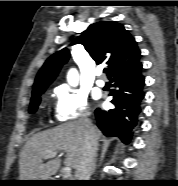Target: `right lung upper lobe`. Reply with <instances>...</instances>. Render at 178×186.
I'll return each mask as SVG.
<instances>
[{
	"mask_svg": "<svg viewBox=\"0 0 178 186\" xmlns=\"http://www.w3.org/2000/svg\"><path fill=\"white\" fill-rule=\"evenodd\" d=\"M82 44L93 60L108 64V78L140 60L141 53L135 39L116 22L101 21L91 24L73 44ZM70 53L64 48L51 55L37 74L32 95L46 89L57 76Z\"/></svg>",
	"mask_w": 178,
	"mask_h": 186,
	"instance_id": "obj_1",
	"label": "right lung upper lobe"
}]
</instances>
